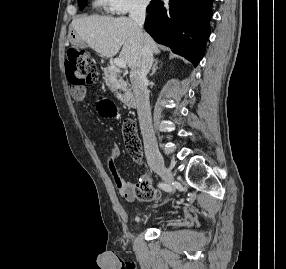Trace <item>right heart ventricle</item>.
Returning a JSON list of instances; mask_svg holds the SVG:
<instances>
[{
	"mask_svg": "<svg viewBox=\"0 0 286 269\" xmlns=\"http://www.w3.org/2000/svg\"><path fill=\"white\" fill-rule=\"evenodd\" d=\"M94 5L100 9H107L109 7L107 0H94Z\"/></svg>",
	"mask_w": 286,
	"mask_h": 269,
	"instance_id": "right-heart-ventricle-1",
	"label": "right heart ventricle"
}]
</instances>
